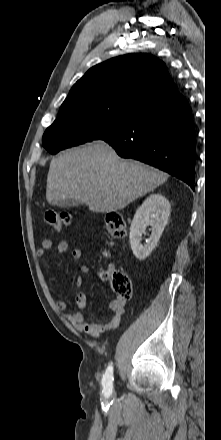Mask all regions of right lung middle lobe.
I'll return each instance as SVG.
<instances>
[{
  "label": "right lung middle lobe",
  "instance_id": "1",
  "mask_svg": "<svg viewBox=\"0 0 221 440\" xmlns=\"http://www.w3.org/2000/svg\"><path fill=\"white\" fill-rule=\"evenodd\" d=\"M135 109L109 101H78L61 106L57 119L43 135L51 154L98 140L113 130Z\"/></svg>",
  "mask_w": 221,
  "mask_h": 440
}]
</instances>
